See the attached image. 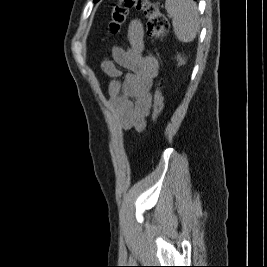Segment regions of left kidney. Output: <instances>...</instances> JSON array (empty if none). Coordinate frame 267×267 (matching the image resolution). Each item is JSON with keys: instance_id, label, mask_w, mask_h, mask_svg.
I'll list each match as a JSON object with an SVG mask.
<instances>
[{"instance_id": "1", "label": "left kidney", "mask_w": 267, "mask_h": 267, "mask_svg": "<svg viewBox=\"0 0 267 267\" xmlns=\"http://www.w3.org/2000/svg\"><path fill=\"white\" fill-rule=\"evenodd\" d=\"M177 61H178V65L185 64V59L183 57H181V55L177 56Z\"/></svg>"}]
</instances>
